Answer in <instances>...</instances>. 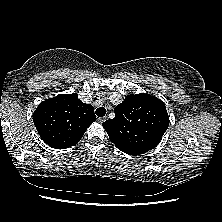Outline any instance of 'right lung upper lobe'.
Instances as JSON below:
<instances>
[{
    "label": "right lung upper lobe",
    "mask_w": 222,
    "mask_h": 222,
    "mask_svg": "<svg viewBox=\"0 0 222 222\" xmlns=\"http://www.w3.org/2000/svg\"><path fill=\"white\" fill-rule=\"evenodd\" d=\"M95 121L93 106L83 103L77 94L46 99L33 113V122L41 139L55 149L77 144Z\"/></svg>",
    "instance_id": "1"
}]
</instances>
